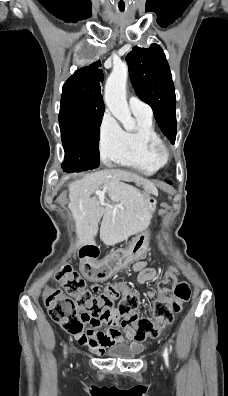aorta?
Returning a JSON list of instances; mask_svg holds the SVG:
<instances>
[{
	"instance_id": "aorta-1",
	"label": "aorta",
	"mask_w": 228,
	"mask_h": 396,
	"mask_svg": "<svg viewBox=\"0 0 228 396\" xmlns=\"http://www.w3.org/2000/svg\"><path fill=\"white\" fill-rule=\"evenodd\" d=\"M127 65L120 63L113 67L105 85V103L112 115L120 121L123 128L132 131L135 120L131 116L126 100Z\"/></svg>"
}]
</instances>
